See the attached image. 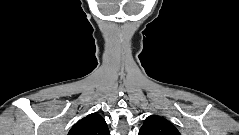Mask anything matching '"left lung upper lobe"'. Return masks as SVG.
<instances>
[{
	"instance_id": "obj_1",
	"label": "left lung upper lobe",
	"mask_w": 239,
	"mask_h": 135,
	"mask_svg": "<svg viewBox=\"0 0 239 135\" xmlns=\"http://www.w3.org/2000/svg\"><path fill=\"white\" fill-rule=\"evenodd\" d=\"M139 135H180L176 127L163 117L151 115L144 121Z\"/></svg>"
}]
</instances>
